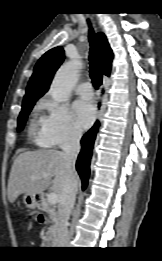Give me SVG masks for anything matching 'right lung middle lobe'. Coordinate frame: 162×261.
Here are the masks:
<instances>
[{
  "mask_svg": "<svg viewBox=\"0 0 162 261\" xmlns=\"http://www.w3.org/2000/svg\"><path fill=\"white\" fill-rule=\"evenodd\" d=\"M38 99L39 98L29 99V100L23 101L22 110H21L19 117H18V126H17L18 131H21L24 128L26 119H27L30 111L32 110L35 102Z\"/></svg>",
  "mask_w": 162,
  "mask_h": 261,
  "instance_id": "right-lung-middle-lobe-1",
  "label": "right lung middle lobe"
}]
</instances>
